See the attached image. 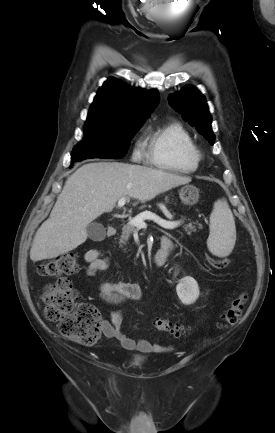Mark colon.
Returning <instances> with one entry per match:
<instances>
[{
    "label": "colon",
    "mask_w": 275,
    "mask_h": 433,
    "mask_svg": "<svg viewBox=\"0 0 275 433\" xmlns=\"http://www.w3.org/2000/svg\"><path fill=\"white\" fill-rule=\"evenodd\" d=\"M214 268H224L228 262L208 258ZM79 271L78 256L68 253L42 263L38 272L44 277H56L57 280L48 284L42 295L46 304L45 317L61 327L64 335L83 345H92L98 341L101 335V315L99 310L89 303L76 307L77 293L68 276ZM247 301V294L238 293L233 297L221 316L222 328L236 325L242 316L243 307ZM155 327L159 331L168 332L176 337L186 333L183 324L176 323L167 318H158Z\"/></svg>",
    "instance_id": "1"
}]
</instances>
